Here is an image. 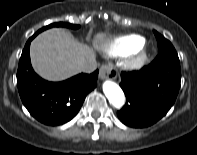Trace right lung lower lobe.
<instances>
[{"label":"right lung lower lobe","mask_w":197,"mask_h":155,"mask_svg":"<svg viewBox=\"0 0 197 155\" xmlns=\"http://www.w3.org/2000/svg\"><path fill=\"white\" fill-rule=\"evenodd\" d=\"M26 43L17 71V87L21 100L30 114L43 124L62 125L80 110L86 95L97 86L98 71L81 73L62 82L40 78L30 62V42Z\"/></svg>","instance_id":"right-lung-lower-lobe-1"}]
</instances>
